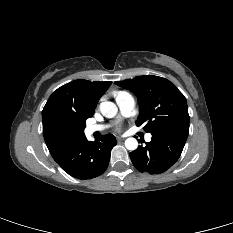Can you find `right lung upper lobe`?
Returning <instances> with one entry per match:
<instances>
[{
  "label": "right lung upper lobe",
  "mask_w": 233,
  "mask_h": 233,
  "mask_svg": "<svg viewBox=\"0 0 233 233\" xmlns=\"http://www.w3.org/2000/svg\"><path fill=\"white\" fill-rule=\"evenodd\" d=\"M111 83L75 80L52 93L42 111L44 139L52 157L85 137L86 119L93 116Z\"/></svg>",
  "instance_id": "obj_1"
}]
</instances>
